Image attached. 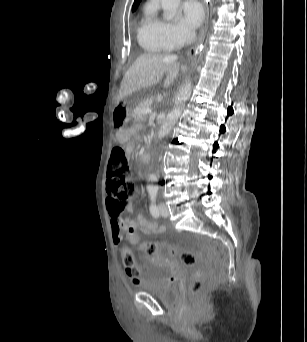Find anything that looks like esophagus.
<instances>
[{"label": "esophagus", "instance_id": "1", "mask_svg": "<svg viewBox=\"0 0 307 342\" xmlns=\"http://www.w3.org/2000/svg\"><path fill=\"white\" fill-rule=\"evenodd\" d=\"M203 7H204L205 18H204V21L202 24V28L205 30L207 25H208V3H207V0H203ZM204 37H205V33L203 31L200 34L198 45L202 43V41L204 40ZM191 51H193V50H191Z\"/></svg>", "mask_w": 307, "mask_h": 342}]
</instances>
